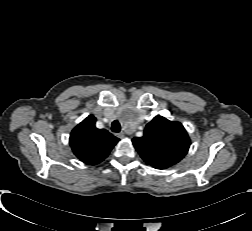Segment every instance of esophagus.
<instances>
[{
	"mask_svg": "<svg viewBox=\"0 0 252 231\" xmlns=\"http://www.w3.org/2000/svg\"><path fill=\"white\" fill-rule=\"evenodd\" d=\"M117 136H118L119 138H124V137H125V133H123V132L118 133Z\"/></svg>",
	"mask_w": 252,
	"mask_h": 231,
	"instance_id": "34e87169",
	"label": "esophagus"
}]
</instances>
